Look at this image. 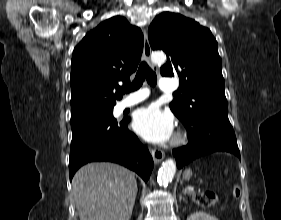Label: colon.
Wrapping results in <instances>:
<instances>
[{"mask_svg":"<svg viewBox=\"0 0 281 220\" xmlns=\"http://www.w3.org/2000/svg\"><path fill=\"white\" fill-rule=\"evenodd\" d=\"M240 193H241L240 188L238 186H236L233 189L232 196L234 198H238L240 196ZM197 199L202 205H206V206L215 204L218 200L216 194H214L212 192H204V193L200 194Z\"/></svg>","mask_w":281,"mask_h":220,"instance_id":"1","label":"colon"}]
</instances>
